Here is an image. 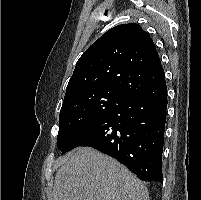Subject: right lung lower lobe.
Wrapping results in <instances>:
<instances>
[{"mask_svg": "<svg viewBox=\"0 0 201 200\" xmlns=\"http://www.w3.org/2000/svg\"><path fill=\"white\" fill-rule=\"evenodd\" d=\"M165 78L130 95L81 131L64 149L93 147L124 164L143 181L163 183L162 152L167 114Z\"/></svg>", "mask_w": 201, "mask_h": 200, "instance_id": "obj_1", "label": "right lung lower lobe"}]
</instances>
